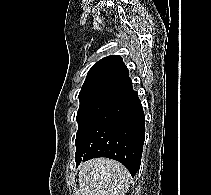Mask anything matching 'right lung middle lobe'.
<instances>
[{"instance_id": "right-lung-middle-lobe-1", "label": "right lung middle lobe", "mask_w": 211, "mask_h": 195, "mask_svg": "<svg viewBox=\"0 0 211 195\" xmlns=\"http://www.w3.org/2000/svg\"><path fill=\"white\" fill-rule=\"evenodd\" d=\"M112 95V92L107 91H91L79 94L80 106L76 117L78 122L75 140L76 148L84 139Z\"/></svg>"}]
</instances>
